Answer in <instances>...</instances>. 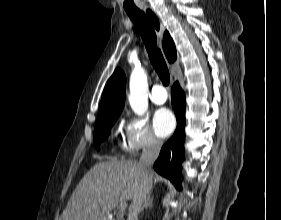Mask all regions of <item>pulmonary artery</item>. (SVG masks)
<instances>
[{"label": "pulmonary artery", "instance_id": "obj_1", "mask_svg": "<svg viewBox=\"0 0 281 220\" xmlns=\"http://www.w3.org/2000/svg\"><path fill=\"white\" fill-rule=\"evenodd\" d=\"M150 99L157 105L165 103L167 99V92L165 88L159 84L154 85L151 90Z\"/></svg>", "mask_w": 281, "mask_h": 220}]
</instances>
